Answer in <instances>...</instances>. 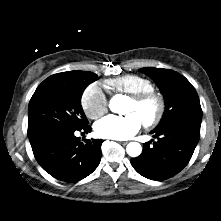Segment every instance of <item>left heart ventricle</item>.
I'll return each instance as SVG.
<instances>
[{
    "label": "left heart ventricle",
    "instance_id": "obj_1",
    "mask_svg": "<svg viewBox=\"0 0 221 221\" xmlns=\"http://www.w3.org/2000/svg\"><path fill=\"white\" fill-rule=\"evenodd\" d=\"M155 111V105L153 103H148L143 106H137L132 101H128L125 112L126 113H136L143 120L147 117H150Z\"/></svg>",
    "mask_w": 221,
    "mask_h": 221
}]
</instances>
